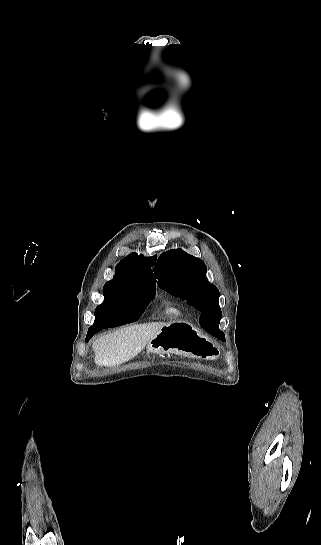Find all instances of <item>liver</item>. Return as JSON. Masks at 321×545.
<instances>
[{
    "instance_id": "6515ba94",
    "label": "liver",
    "mask_w": 321,
    "mask_h": 545,
    "mask_svg": "<svg viewBox=\"0 0 321 545\" xmlns=\"http://www.w3.org/2000/svg\"><path fill=\"white\" fill-rule=\"evenodd\" d=\"M164 325L166 323L127 325L115 333L99 337L92 345L94 363L99 367H116L134 359Z\"/></svg>"
}]
</instances>
